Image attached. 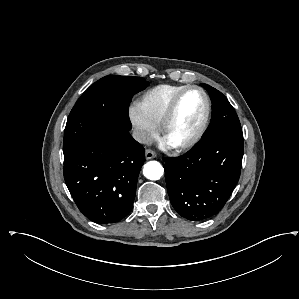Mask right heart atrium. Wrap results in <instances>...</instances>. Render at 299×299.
Instances as JSON below:
<instances>
[{
    "instance_id": "d8ad5b80",
    "label": "right heart atrium",
    "mask_w": 299,
    "mask_h": 299,
    "mask_svg": "<svg viewBox=\"0 0 299 299\" xmlns=\"http://www.w3.org/2000/svg\"><path fill=\"white\" fill-rule=\"evenodd\" d=\"M129 117L135 128V137L142 144L149 143L157 134V125L149 120L140 110L138 104L129 109Z\"/></svg>"
}]
</instances>
